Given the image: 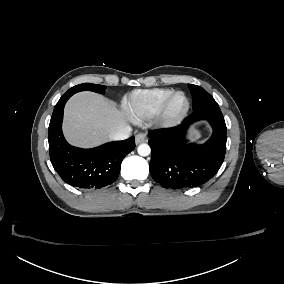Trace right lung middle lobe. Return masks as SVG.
Returning <instances> with one entry per match:
<instances>
[{
    "label": "right lung middle lobe",
    "mask_w": 284,
    "mask_h": 284,
    "mask_svg": "<svg viewBox=\"0 0 284 284\" xmlns=\"http://www.w3.org/2000/svg\"><path fill=\"white\" fill-rule=\"evenodd\" d=\"M106 87L103 85L83 83L70 88L64 95H73L80 91H94L97 93L104 94Z\"/></svg>",
    "instance_id": "dd1d6c3e"
}]
</instances>
